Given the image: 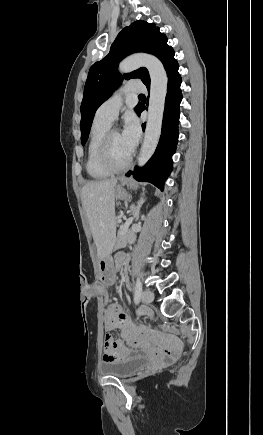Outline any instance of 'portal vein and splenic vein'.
<instances>
[{
  "instance_id": "portal-vein-and-splenic-vein-1",
  "label": "portal vein and splenic vein",
  "mask_w": 263,
  "mask_h": 435,
  "mask_svg": "<svg viewBox=\"0 0 263 435\" xmlns=\"http://www.w3.org/2000/svg\"><path fill=\"white\" fill-rule=\"evenodd\" d=\"M132 222H133V219L132 218H129V219H127L126 220V222H125V224H124V226L122 227L123 228V234L125 233V232H127V230H128V228H129V226L132 224Z\"/></svg>"
}]
</instances>
